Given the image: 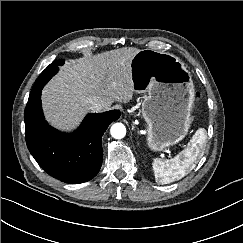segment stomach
Instances as JSON below:
<instances>
[{"mask_svg": "<svg viewBox=\"0 0 243 243\" xmlns=\"http://www.w3.org/2000/svg\"><path fill=\"white\" fill-rule=\"evenodd\" d=\"M134 90L144 93L142 115L147 143L154 151L175 145L187 135L192 121L195 90L190 72L173 54L152 49L131 61Z\"/></svg>", "mask_w": 243, "mask_h": 243, "instance_id": "1", "label": "stomach"}]
</instances>
